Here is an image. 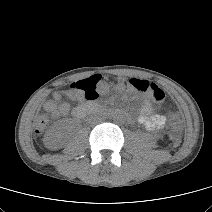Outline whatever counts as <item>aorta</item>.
Returning <instances> with one entry per match:
<instances>
[{
	"mask_svg": "<svg viewBox=\"0 0 212 212\" xmlns=\"http://www.w3.org/2000/svg\"><path fill=\"white\" fill-rule=\"evenodd\" d=\"M113 119L116 122H120V121H122V115L120 113H117L114 115Z\"/></svg>",
	"mask_w": 212,
	"mask_h": 212,
	"instance_id": "1",
	"label": "aorta"
}]
</instances>
